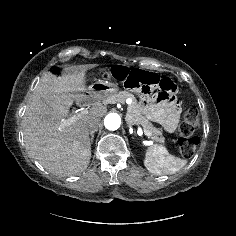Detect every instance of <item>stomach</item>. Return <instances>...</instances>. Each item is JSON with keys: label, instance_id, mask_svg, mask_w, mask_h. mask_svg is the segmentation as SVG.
Listing matches in <instances>:
<instances>
[{"label": "stomach", "instance_id": "0dacf381", "mask_svg": "<svg viewBox=\"0 0 236 236\" xmlns=\"http://www.w3.org/2000/svg\"><path fill=\"white\" fill-rule=\"evenodd\" d=\"M118 91V84L108 81H98L90 86V93L101 97V99L109 98L118 93Z\"/></svg>", "mask_w": 236, "mask_h": 236}]
</instances>
